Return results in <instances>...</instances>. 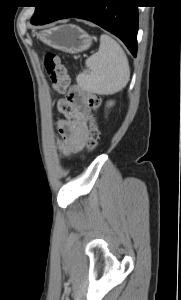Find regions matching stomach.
Returning <instances> with one entry per match:
<instances>
[{"label":"stomach","instance_id":"stomach-1","mask_svg":"<svg viewBox=\"0 0 181 300\" xmlns=\"http://www.w3.org/2000/svg\"><path fill=\"white\" fill-rule=\"evenodd\" d=\"M38 38L46 45L70 54L89 49L93 37L76 25L64 24L44 30Z\"/></svg>","mask_w":181,"mask_h":300}]
</instances>
